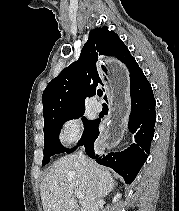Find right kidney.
I'll list each match as a JSON object with an SVG mask.
<instances>
[{"instance_id": "ca27d5eb", "label": "right kidney", "mask_w": 179, "mask_h": 211, "mask_svg": "<svg viewBox=\"0 0 179 211\" xmlns=\"http://www.w3.org/2000/svg\"><path fill=\"white\" fill-rule=\"evenodd\" d=\"M121 198V194L120 193H117L115 196H114V198H113V203H115V202H117L118 201V199H120Z\"/></svg>"}]
</instances>
